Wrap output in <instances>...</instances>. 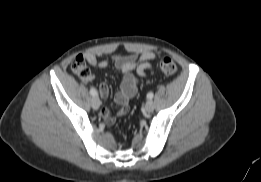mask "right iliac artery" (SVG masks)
<instances>
[{"mask_svg":"<svg viewBox=\"0 0 261 182\" xmlns=\"http://www.w3.org/2000/svg\"><path fill=\"white\" fill-rule=\"evenodd\" d=\"M90 94H91L92 96H97V95H98L97 90H96L95 88H91V89H90Z\"/></svg>","mask_w":261,"mask_h":182,"instance_id":"obj_1","label":"right iliac artery"}]
</instances>
